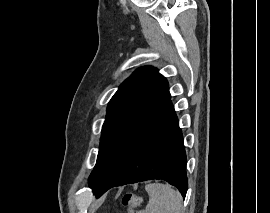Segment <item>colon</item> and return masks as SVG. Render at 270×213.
I'll list each match as a JSON object with an SVG mask.
<instances>
[{"label":"colon","instance_id":"5ec220e1","mask_svg":"<svg viewBox=\"0 0 270 213\" xmlns=\"http://www.w3.org/2000/svg\"><path fill=\"white\" fill-rule=\"evenodd\" d=\"M141 203V198L129 192L123 198V204L128 207H137Z\"/></svg>","mask_w":270,"mask_h":213}]
</instances>
